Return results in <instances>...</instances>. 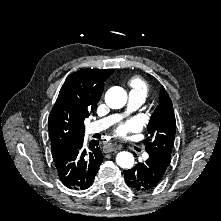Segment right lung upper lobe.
<instances>
[{"label":"right lung upper lobe","instance_id":"1","mask_svg":"<svg viewBox=\"0 0 221 221\" xmlns=\"http://www.w3.org/2000/svg\"><path fill=\"white\" fill-rule=\"evenodd\" d=\"M113 69H83L64 82L49 115L52 154L84 137V120L96 108Z\"/></svg>","mask_w":221,"mask_h":221}]
</instances>
